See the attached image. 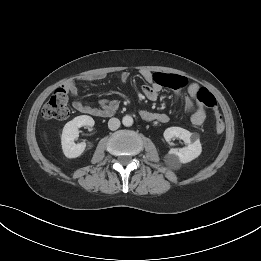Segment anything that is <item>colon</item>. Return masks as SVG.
I'll use <instances>...</instances> for the list:
<instances>
[{
    "instance_id": "colon-1",
    "label": "colon",
    "mask_w": 261,
    "mask_h": 261,
    "mask_svg": "<svg viewBox=\"0 0 261 261\" xmlns=\"http://www.w3.org/2000/svg\"><path fill=\"white\" fill-rule=\"evenodd\" d=\"M197 101L202 107L213 110L215 116V130L222 133L225 129L221 115L218 113L214 95L205 88L197 93ZM42 115L47 119L64 120L69 116L68 97L65 89L56 90L44 105Z\"/></svg>"
}]
</instances>
